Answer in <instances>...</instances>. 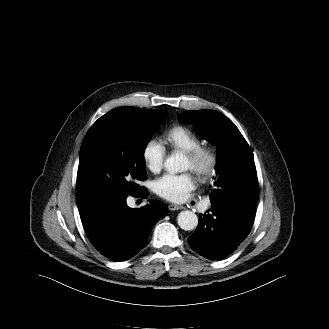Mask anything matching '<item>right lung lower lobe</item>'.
I'll return each instance as SVG.
<instances>
[{"instance_id": "1", "label": "right lung lower lobe", "mask_w": 329, "mask_h": 329, "mask_svg": "<svg viewBox=\"0 0 329 329\" xmlns=\"http://www.w3.org/2000/svg\"><path fill=\"white\" fill-rule=\"evenodd\" d=\"M146 189L138 196H148ZM126 194L102 191L79 201L80 218L92 244L107 258L123 261L146 244L153 225L168 209L164 203L149 200L141 209L129 208Z\"/></svg>"}]
</instances>
